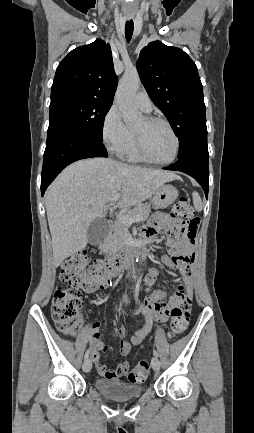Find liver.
<instances>
[{
  "label": "liver",
  "mask_w": 254,
  "mask_h": 433,
  "mask_svg": "<svg viewBox=\"0 0 254 433\" xmlns=\"http://www.w3.org/2000/svg\"><path fill=\"white\" fill-rule=\"evenodd\" d=\"M172 172L128 165L109 158L77 161L57 177L46 192V212L55 267L86 247L90 223L104 217L108 203L129 208L150 198L156 189L177 179Z\"/></svg>",
  "instance_id": "liver-1"
}]
</instances>
